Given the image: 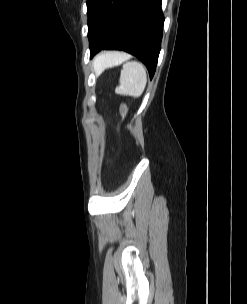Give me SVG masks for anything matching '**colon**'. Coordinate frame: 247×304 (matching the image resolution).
I'll list each match as a JSON object with an SVG mask.
<instances>
[{
  "mask_svg": "<svg viewBox=\"0 0 247 304\" xmlns=\"http://www.w3.org/2000/svg\"><path fill=\"white\" fill-rule=\"evenodd\" d=\"M122 110H125V107H122Z\"/></svg>",
  "mask_w": 247,
  "mask_h": 304,
  "instance_id": "colon-1",
  "label": "colon"
}]
</instances>
